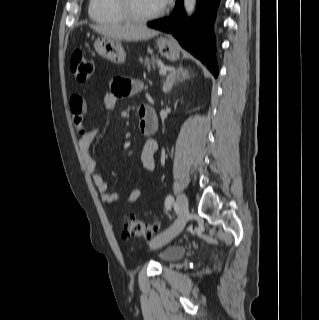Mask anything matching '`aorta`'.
I'll use <instances>...</instances> for the list:
<instances>
[{
  "label": "aorta",
  "instance_id": "aorta-1",
  "mask_svg": "<svg viewBox=\"0 0 319 320\" xmlns=\"http://www.w3.org/2000/svg\"><path fill=\"white\" fill-rule=\"evenodd\" d=\"M196 0H184V8L188 15H191L194 11Z\"/></svg>",
  "mask_w": 319,
  "mask_h": 320
}]
</instances>
